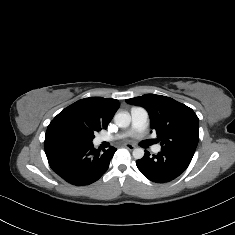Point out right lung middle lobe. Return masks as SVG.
<instances>
[{
  "instance_id": "1",
  "label": "right lung middle lobe",
  "mask_w": 235,
  "mask_h": 235,
  "mask_svg": "<svg viewBox=\"0 0 235 235\" xmlns=\"http://www.w3.org/2000/svg\"><path fill=\"white\" fill-rule=\"evenodd\" d=\"M96 130L85 127L79 123H67L61 133L69 141L92 142Z\"/></svg>"
}]
</instances>
